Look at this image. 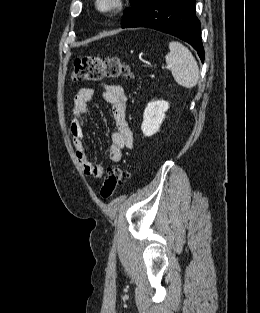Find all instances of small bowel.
<instances>
[{
    "label": "small bowel",
    "mask_w": 260,
    "mask_h": 313,
    "mask_svg": "<svg viewBox=\"0 0 260 313\" xmlns=\"http://www.w3.org/2000/svg\"><path fill=\"white\" fill-rule=\"evenodd\" d=\"M103 99L111 106L115 123V130L111 133L109 155L113 162H121L123 150L133 147V134L126 121L127 97L122 86L106 84L103 86ZM93 96V90L88 87L81 88L74 97L73 119L71 122L72 142L78 162L86 175L94 178H103L105 167L93 164L85 146V134L82 119L88 113V102Z\"/></svg>",
    "instance_id": "1"
}]
</instances>
